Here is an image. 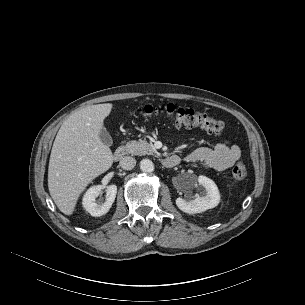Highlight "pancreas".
<instances>
[{
  "label": "pancreas",
  "instance_id": "pancreas-1",
  "mask_svg": "<svg viewBox=\"0 0 305 305\" xmlns=\"http://www.w3.org/2000/svg\"><path fill=\"white\" fill-rule=\"evenodd\" d=\"M125 150L127 153L131 155H139V156L154 155L156 153V149L153 147V145L145 140L129 141L125 146Z\"/></svg>",
  "mask_w": 305,
  "mask_h": 305
}]
</instances>
